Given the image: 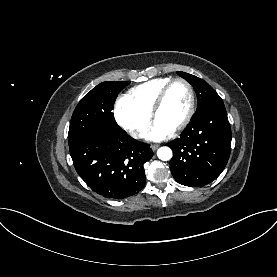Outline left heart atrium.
Here are the masks:
<instances>
[{"mask_svg":"<svg viewBox=\"0 0 277 277\" xmlns=\"http://www.w3.org/2000/svg\"><path fill=\"white\" fill-rule=\"evenodd\" d=\"M173 131L174 129L169 125L156 120L144 136L148 140L160 141L170 136Z\"/></svg>","mask_w":277,"mask_h":277,"instance_id":"39dd6f15","label":"left heart atrium"}]
</instances>
